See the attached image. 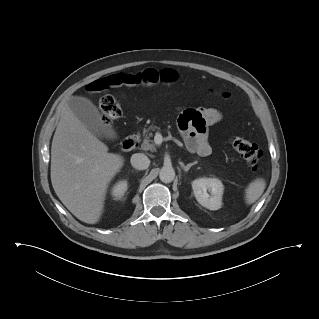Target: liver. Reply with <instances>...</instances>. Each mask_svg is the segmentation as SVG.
Returning <instances> with one entry per match:
<instances>
[{"instance_id": "1", "label": "liver", "mask_w": 319, "mask_h": 319, "mask_svg": "<svg viewBox=\"0 0 319 319\" xmlns=\"http://www.w3.org/2000/svg\"><path fill=\"white\" fill-rule=\"evenodd\" d=\"M108 150L66 104L52 140L51 182L66 208L88 224L99 221L108 186L124 164Z\"/></svg>"}]
</instances>
